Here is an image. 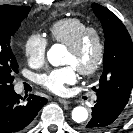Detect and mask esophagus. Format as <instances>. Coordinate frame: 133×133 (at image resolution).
<instances>
[{"instance_id":"1","label":"esophagus","mask_w":133,"mask_h":133,"mask_svg":"<svg viewBox=\"0 0 133 133\" xmlns=\"http://www.w3.org/2000/svg\"><path fill=\"white\" fill-rule=\"evenodd\" d=\"M58 102L63 104V105H68L70 104V101L66 100V99H62V98H58Z\"/></svg>"}]
</instances>
